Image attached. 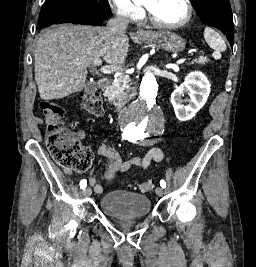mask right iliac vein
<instances>
[{
	"label": "right iliac vein",
	"mask_w": 256,
	"mask_h": 267,
	"mask_svg": "<svg viewBox=\"0 0 256 267\" xmlns=\"http://www.w3.org/2000/svg\"><path fill=\"white\" fill-rule=\"evenodd\" d=\"M91 193H92V190H91L90 187H87V188H85V189L83 190V195H84L85 197H89V196L91 195Z\"/></svg>",
	"instance_id": "1"
}]
</instances>
